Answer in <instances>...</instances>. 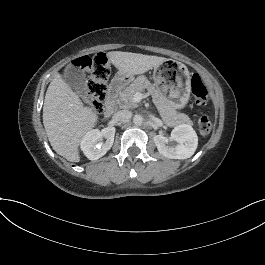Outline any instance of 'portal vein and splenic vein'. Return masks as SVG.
<instances>
[{
    "label": "portal vein and splenic vein",
    "instance_id": "portal-vein-and-splenic-vein-1",
    "mask_svg": "<svg viewBox=\"0 0 265 265\" xmlns=\"http://www.w3.org/2000/svg\"><path fill=\"white\" fill-rule=\"evenodd\" d=\"M142 98H143L142 94L137 92L133 95L131 101L133 104H138L141 102Z\"/></svg>",
    "mask_w": 265,
    "mask_h": 265
}]
</instances>
